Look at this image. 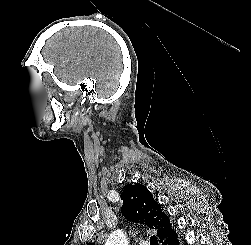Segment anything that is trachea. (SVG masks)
Here are the masks:
<instances>
[{"label":"trachea","instance_id":"trachea-1","mask_svg":"<svg viewBox=\"0 0 251 245\" xmlns=\"http://www.w3.org/2000/svg\"><path fill=\"white\" fill-rule=\"evenodd\" d=\"M150 245H158L156 236L153 235L150 237Z\"/></svg>","mask_w":251,"mask_h":245}]
</instances>
